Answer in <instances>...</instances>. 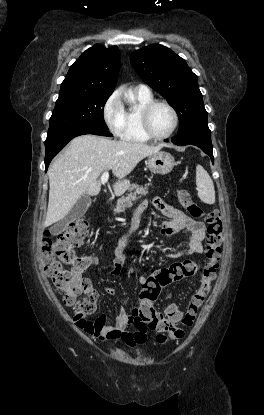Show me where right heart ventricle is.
<instances>
[{
	"instance_id": "1",
	"label": "right heart ventricle",
	"mask_w": 264,
	"mask_h": 415,
	"mask_svg": "<svg viewBox=\"0 0 264 415\" xmlns=\"http://www.w3.org/2000/svg\"><path fill=\"white\" fill-rule=\"evenodd\" d=\"M137 104L124 110L125 121L120 137L129 142H147L150 139L143 133L140 123V109L154 100L152 93L135 92Z\"/></svg>"
}]
</instances>
